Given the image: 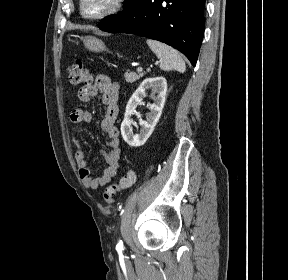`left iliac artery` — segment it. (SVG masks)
<instances>
[{
	"mask_svg": "<svg viewBox=\"0 0 288 280\" xmlns=\"http://www.w3.org/2000/svg\"><path fill=\"white\" fill-rule=\"evenodd\" d=\"M116 250L117 251H122L123 250V242H122V240L118 241V244L116 245Z\"/></svg>",
	"mask_w": 288,
	"mask_h": 280,
	"instance_id": "left-iliac-artery-1",
	"label": "left iliac artery"
}]
</instances>
